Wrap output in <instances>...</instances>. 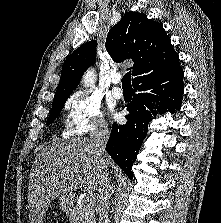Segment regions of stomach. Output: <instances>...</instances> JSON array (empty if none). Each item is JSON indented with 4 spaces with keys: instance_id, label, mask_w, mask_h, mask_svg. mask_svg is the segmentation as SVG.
<instances>
[{
    "instance_id": "stomach-1",
    "label": "stomach",
    "mask_w": 221,
    "mask_h": 223,
    "mask_svg": "<svg viewBox=\"0 0 221 223\" xmlns=\"http://www.w3.org/2000/svg\"><path fill=\"white\" fill-rule=\"evenodd\" d=\"M59 205L62 210L69 213L73 209V196L69 193L59 197Z\"/></svg>"
}]
</instances>
